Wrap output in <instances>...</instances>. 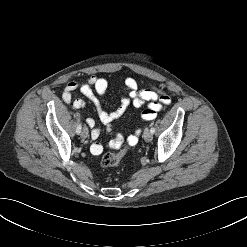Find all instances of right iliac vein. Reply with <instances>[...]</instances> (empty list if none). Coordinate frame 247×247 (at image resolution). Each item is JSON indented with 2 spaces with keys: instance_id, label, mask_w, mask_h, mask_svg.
Wrapping results in <instances>:
<instances>
[{
  "instance_id": "right-iliac-vein-1",
  "label": "right iliac vein",
  "mask_w": 247,
  "mask_h": 247,
  "mask_svg": "<svg viewBox=\"0 0 247 247\" xmlns=\"http://www.w3.org/2000/svg\"><path fill=\"white\" fill-rule=\"evenodd\" d=\"M88 134H89L88 128H87V127H84V128L82 129V131H81V137H82L83 139H85V138L88 137Z\"/></svg>"
}]
</instances>
